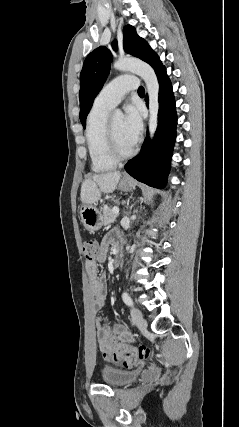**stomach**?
Instances as JSON below:
<instances>
[{"label": "stomach", "instance_id": "1", "mask_svg": "<svg viewBox=\"0 0 239 427\" xmlns=\"http://www.w3.org/2000/svg\"><path fill=\"white\" fill-rule=\"evenodd\" d=\"M118 187L120 190L127 192L135 187V182L121 180ZM80 216L84 227L90 232H95L103 226V216L96 206L92 204H84L81 208Z\"/></svg>", "mask_w": 239, "mask_h": 427}]
</instances>
